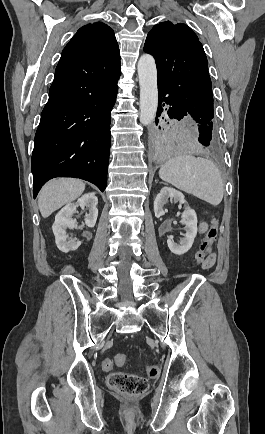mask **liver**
Here are the masks:
<instances>
[{
    "label": "liver",
    "instance_id": "6515ba94",
    "mask_svg": "<svg viewBox=\"0 0 265 434\" xmlns=\"http://www.w3.org/2000/svg\"><path fill=\"white\" fill-rule=\"evenodd\" d=\"M84 190L85 184L81 180H74V178L50 180L43 186L38 196V208L42 218H48L55 210L74 202Z\"/></svg>",
    "mask_w": 265,
    "mask_h": 434
}]
</instances>
